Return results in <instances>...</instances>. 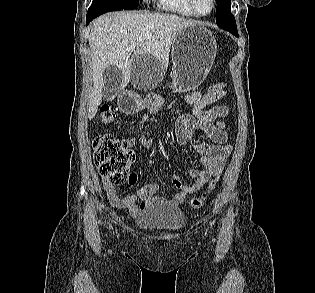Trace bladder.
I'll return each mask as SVG.
<instances>
[{
	"mask_svg": "<svg viewBox=\"0 0 315 293\" xmlns=\"http://www.w3.org/2000/svg\"><path fill=\"white\" fill-rule=\"evenodd\" d=\"M186 223L183 211L163 203L153 204L142 210L135 219L136 226L144 231L176 233Z\"/></svg>",
	"mask_w": 315,
	"mask_h": 293,
	"instance_id": "31cf9c89",
	"label": "bladder"
}]
</instances>
